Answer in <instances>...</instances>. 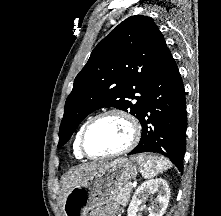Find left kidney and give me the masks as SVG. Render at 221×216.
Masks as SVG:
<instances>
[{
  "label": "left kidney",
  "mask_w": 221,
  "mask_h": 216,
  "mask_svg": "<svg viewBox=\"0 0 221 216\" xmlns=\"http://www.w3.org/2000/svg\"><path fill=\"white\" fill-rule=\"evenodd\" d=\"M154 193H157V198L149 216H163L169 203L170 188L167 181L161 178L146 181L138 187L128 207V216H137L138 207L148 195Z\"/></svg>",
  "instance_id": "left-kidney-1"
}]
</instances>
